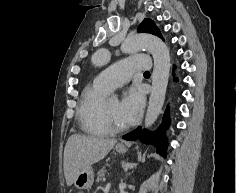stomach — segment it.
I'll return each mask as SVG.
<instances>
[{
  "label": "stomach",
  "mask_w": 237,
  "mask_h": 193,
  "mask_svg": "<svg viewBox=\"0 0 237 193\" xmlns=\"http://www.w3.org/2000/svg\"><path fill=\"white\" fill-rule=\"evenodd\" d=\"M115 150L118 153L123 154L127 151V148L123 144H117L115 146ZM93 181H94V172L92 167L88 166L78 173L73 183L78 189H89L91 188Z\"/></svg>",
  "instance_id": "0dacf381"
}]
</instances>
